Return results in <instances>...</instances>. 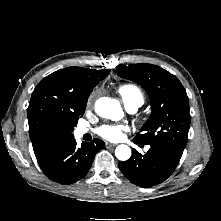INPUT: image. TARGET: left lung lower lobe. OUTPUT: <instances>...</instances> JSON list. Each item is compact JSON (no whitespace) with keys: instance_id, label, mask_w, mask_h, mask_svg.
Here are the masks:
<instances>
[{"instance_id":"1","label":"left lung lower lobe","mask_w":221,"mask_h":221,"mask_svg":"<svg viewBox=\"0 0 221 221\" xmlns=\"http://www.w3.org/2000/svg\"><path fill=\"white\" fill-rule=\"evenodd\" d=\"M135 143H139L134 139ZM144 155L132 150L128 161L119 163L123 175L140 187H151L165 181L177 167L181 153L160 145H150Z\"/></svg>"}]
</instances>
